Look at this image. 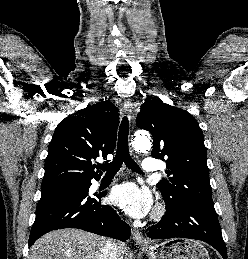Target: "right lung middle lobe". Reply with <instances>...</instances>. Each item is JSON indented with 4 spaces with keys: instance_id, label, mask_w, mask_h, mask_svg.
I'll return each instance as SVG.
<instances>
[{
    "instance_id": "obj_1",
    "label": "right lung middle lobe",
    "mask_w": 248,
    "mask_h": 259,
    "mask_svg": "<svg viewBox=\"0 0 248 259\" xmlns=\"http://www.w3.org/2000/svg\"><path fill=\"white\" fill-rule=\"evenodd\" d=\"M91 185L90 181H71V182H62L56 184H47L41 185V191L49 190V189H56V188H76V189H83L87 188Z\"/></svg>"
}]
</instances>
